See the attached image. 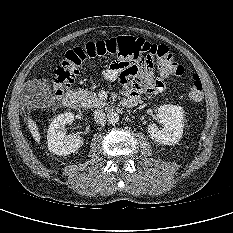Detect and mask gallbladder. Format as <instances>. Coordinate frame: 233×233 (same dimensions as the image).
I'll use <instances>...</instances> for the list:
<instances>
[{
	"label": "gallbladder",
	"mask_w": 233,
	"mask_h": 233,
	"mask_svg": "<svg viewBox=\"0 0 233 233\" xmlns=\"http://www.w3.org/2000/svg\"><path fill=\"white\" fill-rule=\"evenodd\" d=\"M28 87L31 89V93L34 96L40 98L44 102H49L53 97L50 85H48L46 82L41 80H33L28 83Z\"/></svg>",
	"instance_id": "obj_1"
}]
</instances>
